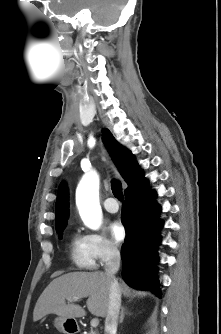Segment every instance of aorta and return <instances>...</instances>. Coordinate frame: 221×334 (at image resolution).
Masks as SVG:
<instances>
[{
	"label": "aorta",
	"instance_id": "aorta-1",
	"mask_svg": "<svg viewBox=\"0 0 221 334\" xmlns=\"http://www.w3.org/2000/svg\"><path fill=\"white\" fill-rule=\"evenodd\" d=\"M76 205L83 223L92 230L102 224L99 203V176L95 172L85 174L76 189Z\"/></svg>",
	"mask_w": 221,
	"mask_h": 334
}]
</instances>
